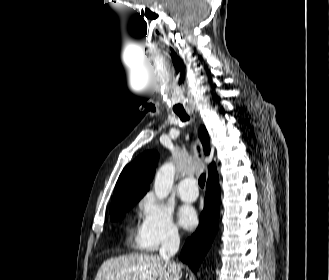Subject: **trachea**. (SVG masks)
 I'll return each instance as SVG.
<instances>
[{
	"label": "trachea",
	"mask_w": 329,
	"mask_h": 280,
	"mask_svg": "<svg viewBox=\"0 0 329 280\" xmlns=\"http://www.w3.org/2000/svg\"><path fill=\"white\" fill-rule=\"evenodd\" d=\"M177 115L180 117V119L182 121L189 120V116L186 113H177ZM205 181H206V175L203 173V174H201V176L199 177V180H198V183H199L201 188L204 187Z\"/></svg>",
	"instance_id": "3493384b"
}]
</instances>
